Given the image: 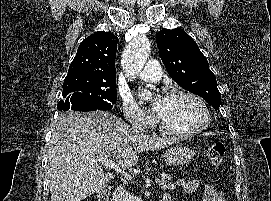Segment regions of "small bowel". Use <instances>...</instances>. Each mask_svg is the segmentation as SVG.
Instances as JSON below:
<instances>
[{"instance_id": "small-bowel-1", "label": "small bowel", "mask_w": 271, "mask_h": 201, "mask_svg": "<svg viewBox=\"0 0 271 201\" xmlns=\"http://www.w3.org/2000/svg\"><path fill=\"white\" fill-rule=\"evenodd\" d=\"M178 184L188 193L194 192L202 186L204 191L203 201H225L221 191L208 182L198 179H180Z\"/></svg>"}]
</instances>
